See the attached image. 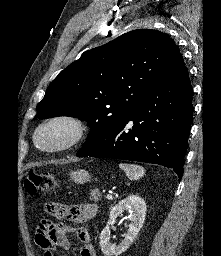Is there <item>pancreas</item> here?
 Instances as JSON below:
<instances>
[{"instance_id": "pancreas-1", "label": "pancreas", "mask_w": 221, "mask_h": 256, "mask_svg": "<svg viewBox=\"0 0 221 256\" xmlns=\"http://www.w3.org/2000/svg\"><path fill=\"white\" fill-rule=\"evenodd\" d=\"M101 193L98 189L91 190L90 192V200L98 202L101 199Z\"/></svg>"}]
</instances>
